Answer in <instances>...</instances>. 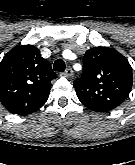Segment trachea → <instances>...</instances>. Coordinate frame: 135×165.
Wrapping results in <instances>:
<instances>
[{
  "instance_id": "3493384b",
  "label": "trachea",
  "mask_w": 135,
  "mask_h": 165,
  "mask_svg": "<svg viewBox=\"0 0 135 165\" xmlns=\"http://www.w3.org/2000/svg\"><path fill=\"white\" fill-rule=\"evenodd\" d=\"M53 68L57 72H63L65 70V62L62 59H57Z\"/></svg>"
}]
</instances>
